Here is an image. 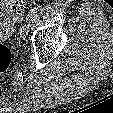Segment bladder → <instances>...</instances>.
<instances>
[{"instance_id":"bladder-1","label":"bladder","mask_w":113,"mask_h":113,"mask_svg":"<svg viewBox=\"0 0 113 113\" xmlns=\"http://www.w3.org/2000/svg\"><path fill=\"white\" fill-rule=\"evenodd\" d=\"M12 28V23L5 16L2 18L0 17V40L7 38L10 35Z\"/></svg>"}]
</instances>
